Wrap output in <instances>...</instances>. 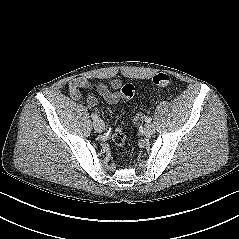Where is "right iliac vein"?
Returning a JSON list of instances; mask_svg holds the SVG:
<instances>
[{
    "label": "right iliac vein",
    "mask_w": 239,
    "mask_h": 239,
    "mask_svg": "<svg viewBox=\"0 0 239 239\" xmlns=\"http://www.w3.org/2000/svg\"><path fill=\"white\" fill-rule=\"evenodd\" d=\"M93 126H94V129H95L98 133L103 132L104 129H105V124H104V122H103L101 119H99V120H97V121H94V122H93Z\"/></svg>",
    "instance_id": "right-iliac-vein-1"
}]
</instances>
